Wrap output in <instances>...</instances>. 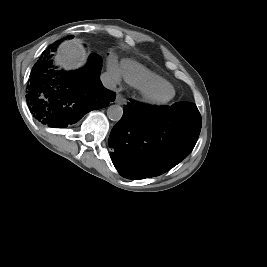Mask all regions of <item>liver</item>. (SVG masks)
Instances as JSON below:
<instances>
[{
  "instance_id": "6515ba94",
  "label": "liver",
  "mask_w": 267,
  "mask_h": 267,
  "mask_svg": "<svg viewBox=\"0 0 267 267\" xmlns=\"http://www.w3.org/2000/svg\"><path fill=\"white\" fill-rule=\"evenodd\" d=\"M86 58L85 50L78 41L67 40L58 49L56 64L66 70H72L81 67Z\"/></svg>"
}]
</instances>
